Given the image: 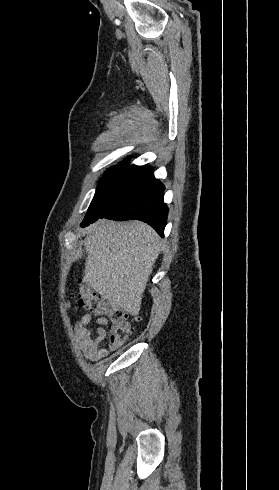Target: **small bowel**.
<instances>
[{
	"label": "small bowel",
	"mask_w": 279,
	"mask_h": 490,
	"mask_svg": "<svg viewBox=\"0 0 279 490\" xmlns=\"http://www.w3.org/2000/svg\"><path fill=\"white\" fill-rule=\"evenodd\" d=\"M97 325L96 335L92 337L90 326ZM109 321L104 317H93L85 314L75 324L74 334L78 347L84 356L91 361H98L109 355V349L104 346Z\"/></svg>",
	"instance_id": "c3829d8e"
}]
</instances>
